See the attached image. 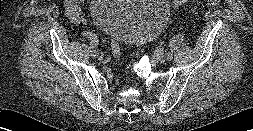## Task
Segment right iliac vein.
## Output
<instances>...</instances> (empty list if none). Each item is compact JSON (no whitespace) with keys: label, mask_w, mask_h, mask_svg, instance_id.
<instances>
[{"label":"right iliac vein","mask_w":253,"mask_h":131,"mask_svg":"<svg viewBox=\"0 0 253 131\" xmlns=\"http://www.w3.org/2000/svg\"><path fill=\"white\" fill-rule=\"evenodd\" d=\"M92 56H93V57H96V58H101V55H100V54H99V55H96V54H93V53H92Z\"/></svg>","instance_id":"63e3f726"}]
</instances>
